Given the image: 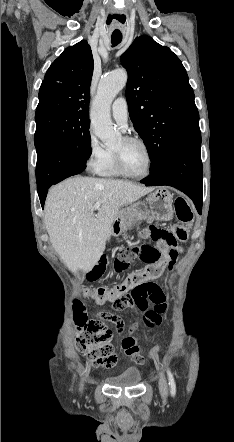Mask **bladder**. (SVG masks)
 Returning a JSON list of instances; mask_svg holds the SVG:
<instances>
[{
	"instance_id": "obj_1",
	"label": "bladder",
	"mask_w": 234,
	"mask_h": 442,
	"mask_svg": "<svg viewBox=\"0 0 234 442\" xmlns=\"http://www.w3.org/2000/svg\"><path fill=\"white\" fill-rule=\"evenodd\" d=\"M141 380V372L137 367L131 366L117 376L110 377L107 382L117 387H132Z\"/></svg>"
}]
</instances>
